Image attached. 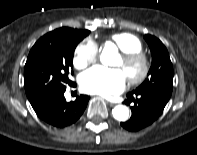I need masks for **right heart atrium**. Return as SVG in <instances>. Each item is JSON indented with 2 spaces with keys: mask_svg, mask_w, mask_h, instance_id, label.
<instances>
[{
  "mask_svg": "<svg viewBox=\"0 0 197 155\" xmlns=\"http://www.w3.org/2000/svg\"><path fill=\"white\" fill-rule=\"evenodd\" d=\"M99 55V49L93 41H84L78 44L73 57V65L76 69H84L93 64Z\"/></svg>",
  "mask_w": 197,
  "mask_h": 155,
  "instance_id": "d8ad5b80",
  "label": "right heart atrium"
}]
</instances>
